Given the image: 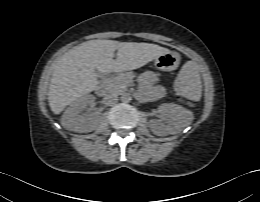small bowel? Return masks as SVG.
I'll list each match as a JSON object with an SVG mask.
<instances>
[{
  "label": "small bowel",
  "mask_w": 260,
  "mask_h": 202,
  "mask_svg": "<svg viewBox=\"0 0 260 202\" xmlns=\"http://www.w3.org/2000/svg\"><path fill=\"white\" fill-rule=\"evenodd\" d=\"M156 76L155 74L153 73H146L145 75H143L142 77V81L144 83H147L149 81H153L155 80ZM162 89L160 87H157V88H154L152 91H151V95L152 97H159L162 95Z\"/></svg>",
  "instance_id": "obj_1"
}]
</instances>
